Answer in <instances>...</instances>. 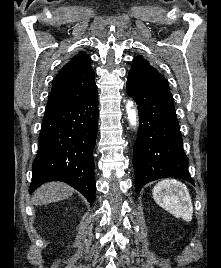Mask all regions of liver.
<instances>
[{
  "mask_svg": "<svg viewBox=\"0 0 221 268\" xmlns=\"http://www.w3.org/2000/svg\"><path fill=\"white\" fill-rule=\"evenodd\" d=\"M73 192L74 189L65 183H46L35 191L32 203L34 205H45L57 202L69 198Z\"/></svg>",
  "mask_w": 221,
  "mask_h": 268,
  "instance_id": "liver-1",
  "label": "liver"
}]
</instances>
